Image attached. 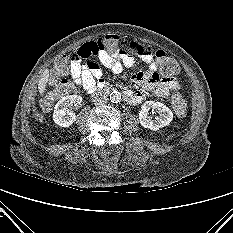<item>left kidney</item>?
<instances>
[{
	"mask_svg": "<svg viewBox=\"0 0 233 233\" xmlns=\"http://www.w3.org/2000/svg\"><path fill=\"white\" fill-rule=\"evenodd\" d=\"M150 109L156 111L159 116H157L155 119H152V117L148 116V111ZM172 119V111L161 102L146 101L141 106L139 121L144 128L156 131L161 127L168 126Z\"/></svg>",
	"mask_w": 233,
	"mask_h": 233,
	"instance_id": "5707ae66",
	"label": "left kidney"
}]
</instances>
